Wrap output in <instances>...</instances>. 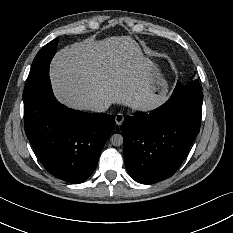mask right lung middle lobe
<instances>
[{"instance_id":"1","label":"right lung middle lobe","mask_w":233,"mask_h":233,"mask_svg":"<svg viewBox=\"0 0 233 233\" xmlns=\"http://www.w3.org/2000/svg\"><path fill=\"white\" fill-rule=\"evenodd\" d=\"M58 38L40 49L31 66L30 74L24 88V96L41 86L49 78V65L56 52Z\"/></svg>"}]
</instances>
